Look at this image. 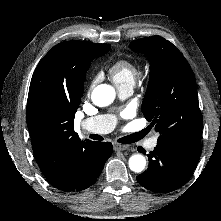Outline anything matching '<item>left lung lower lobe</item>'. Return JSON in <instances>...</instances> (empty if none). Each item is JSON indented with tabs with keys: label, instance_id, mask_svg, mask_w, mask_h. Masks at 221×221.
<instances>
[{
	"label": "left lung lower lobe",
	"instance_id": "obj_1",
	"mask_svg": "<svg viewBox=\"0 0 221 221\" xmlns=\"http://www.w3.org/2000/svg\"><path fill=\"white\" fill-rule=\"evenodd\" d=\"M137 150L146 153L142 147ZM200 155L199 144L157 141L154 151L148 154V168L136 177L137 182L153 192L174 191L188 182Z\"/></svg>",
	"mask_w": 221,
	"mask_h": 221
}]
</instances>
